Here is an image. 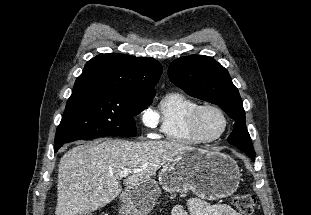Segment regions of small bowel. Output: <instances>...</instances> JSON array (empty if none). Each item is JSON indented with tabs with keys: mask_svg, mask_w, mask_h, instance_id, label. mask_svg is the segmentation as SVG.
Listing matches in <instances>:
<instances>
[{
	"mask_svg": "<svg viewBox=\"0 0 311 215\" xmlns=\"http://www.w3.org/2000/svg\"><path fill=\"white\" fill-rule=\"evenodd\" d=\"M172 215H240L227 204H209L199 198H192L186 204L172 209Z\"/></svg>",
	"mask_w": 311,
	"mask_h": 215,
	"instance_id": "obj_1",
	"label": "small bowel"
}]
</instances>
